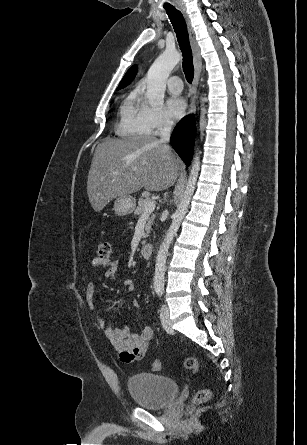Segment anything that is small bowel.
<instances>
[{
  "label": "small bowel",
  "mask_w": 307,
  "mask_h": 445,
  "mask_svg": "<svg viewBox=\"0 0 307 445\" xmlns=\"http://www.w3.org/2000/svg\"><path fill=\"white\" fill-rule=\"evenodd\" d=\"M91 267H102L105 269V276L113 279L120 267L119 260H108L94 258L90 263ZM96 287L89 282L85 289V300L88 307L93 310L95 303ZM135 307H139L137 301H133ZM97 325L102 329L104 336L110 342L112 347L119 352L120 360L124 363L141 360L153 339V330L151 327H145L141 333H131L127 326L112 328L106 325L101 317L96 319Z\"/></svg>",
  "instance_id": "small-bowel-1"
}]
</instances>
